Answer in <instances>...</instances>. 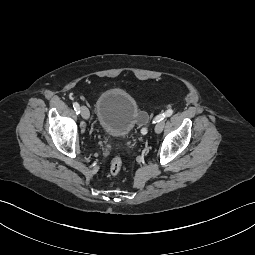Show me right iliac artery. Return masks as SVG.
<instances>
[{
	"label": "right iliac artery",
	"mask_w": 255,
	"mask_h": 255,
	"mask_svg": "<svg viewBox=\"0 0 255 255\" xmlns=\"http://www.w3.org/2000/svg\"><path fill=\"white\" fill-rule=\"evenodd\" d=\"M74 110L76 111V114L80 113V105L77 102L73 103Z\"/></svg>",
	"instance_id": "82829eb1"
}]
</instances>
